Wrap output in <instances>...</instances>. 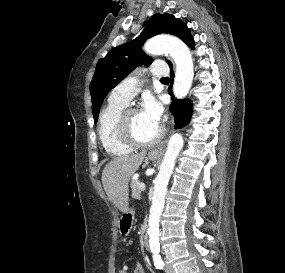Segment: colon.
Here are the masks:
<instances>
[{
    "instance_id": "colon-1",
    "label": "colon",
    "mask_w": 285,
    "mask_h": 273,
    "mask_svg": "<svg viewBox=\"0 0 285 273\" xmlns=\"http://www.w3.org/2000/svg\"><path fill=\"white\" fill-rule=\"evenodd\" d=\"M118 273H126V269L125 268H121Z\"/></svg>"
}]
</instances>
